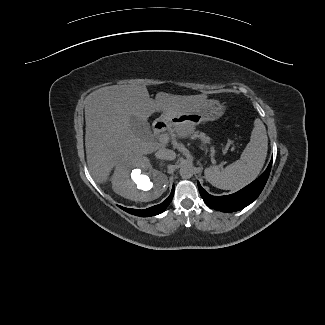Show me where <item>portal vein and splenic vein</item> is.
<instances>
[{"mask_svg": "<svg viewBox=\"0 0 325 325\" xmlns=\"http://www.w3.org/2000/svg\"><path fill=\"white\" fill-rule=\"evenodd\" d=\"M169 139H170V137L167 134H161L159 136V141L161 143H168L169 142Z\"/></svg>", "mask_w": 325, "mask_h": 325, "instance_id": "obj_1", "label": "portal vein and splenic vein"}]
</instances>
